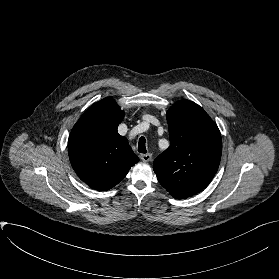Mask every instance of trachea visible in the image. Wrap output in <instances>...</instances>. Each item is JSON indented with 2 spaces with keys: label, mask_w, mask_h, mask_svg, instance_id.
<instances>
[{
  "label": "trachea",
  "mask_w": 279,
  "mask_h": 279,
  "mask_svg": "<svg viewBox=\"0 0 279 279\" xmlns=\"http://www.w3.org/2000/svg\"><path fill=\"white\" fill-rule=\"evenodd\" d=\"M138 152L140 153H146V140L144 137H140L139 143H138Z\"/></svg>",
  "instance_id": "3493384b"
}]
</instances>
